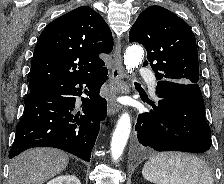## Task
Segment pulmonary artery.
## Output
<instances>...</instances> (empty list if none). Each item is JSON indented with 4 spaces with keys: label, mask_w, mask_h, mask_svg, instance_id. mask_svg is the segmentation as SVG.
I'll return each instance as SVG.
<instances>
[{
    "label": "pulmonary artery",
    "mask_w": 224,
    "mask_h": 184,
    "mask_svg": "<svg viewBox=\"0 0 224 184\" xmlns=\"http://www.w3.org/2000/svg\"><path fill=\"white\" fill-rule=\"evenodd\" d=\"M138 74L140 76H147V77H149L151 75L150 71L146 68L139 69ZM155 87H156V80L154 78H152V81L149 83L150 91L153 92Z\"/></svg>",
    "instance_id": "e3ab8cb5"
}]
</instances>
